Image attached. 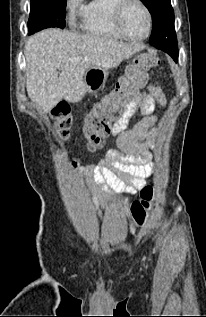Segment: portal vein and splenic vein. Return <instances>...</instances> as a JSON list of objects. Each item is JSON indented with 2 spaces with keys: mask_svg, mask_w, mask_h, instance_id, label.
Instances as JSON below:
<instances>
[{
  "mask_svg": "<svg viewBox=\"0 0 206 317\" xmlns=\"http://www.w3.org/2000/svg\"><path fill=\"white\" fill-rule=\"evenodd\" d=\"M78 58H72L71 60H77Z\"/></svg>",
  "mask_w": 206,
  "mask_h": 317,
  "instance_id": "portal-vein-and-splenic-vein-1",
  "label": "portal vein and splenic vein"
}]
</instances>
